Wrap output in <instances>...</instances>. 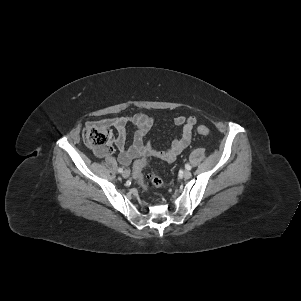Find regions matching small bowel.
<instances>
[{"label": "small bowel", "instance_id": "1", "mask_svg": "<svg viewBox=\"0 0 301 301\" xmlns=\"http://www.w3.org/2000/svg\"><path fill=\"white\" fill-rule=\"evenodd\" d=\"M198 122L196 116L185 117L178 115L174 118V124L181 128L180 136L164 149H158L150 142L145 141V136L151 130L154 119L140 113L132 119L127 117H113L104 120V124L116 129L117 137L115 147L118 151V161L122 165H129L139 157H154L166 162H172L189 145L193 130ZM131 123L134 128L133 141L127 146V126Z\"/></svg>", "mask_w": 301, "mask_h": 301}]
</instances>
